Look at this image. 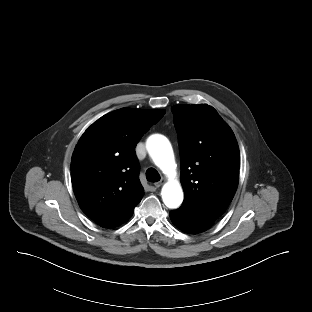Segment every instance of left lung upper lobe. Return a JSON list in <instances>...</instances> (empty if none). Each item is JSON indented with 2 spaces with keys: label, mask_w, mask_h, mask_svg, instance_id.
<instances>
[{
  "label": "left lung upper lobe",
  "mask_w": 312,
  "mask_h": 312,
  "mask_svg": "<svg viewBox=\"0 0 312 312\" xmlns=\"http://www.w3.org/2000/svg\"><path fill=\"white\" fill-rule=\"evenodd\" d=\"M171 110L181 154L180 208L215 221L238 186L240 152L234 133L208 104L175 105Z\"/></svg>",
  "instance_id": "obj_1"
}]
</instances>
